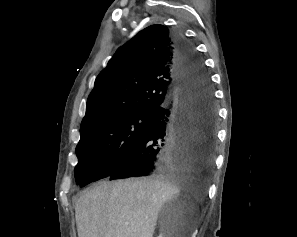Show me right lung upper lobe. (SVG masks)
Segmentation results:
<instances>
[{
    "label": "right lung upper lobe",
    "instance_id": "cb5924a9",
    "mask_svg": "<svg viewBox=\"0 0 297 237\" xmlns=\"http://www.w3.org/2000/svg\"><path fill=\"white\" fill-rule=\"evenodd\" d=\"M175 55L173 34L163 25L145 28L120 47L96 78L80 132L97 121L155 112L169 103L180 87Z\"/></svg>",
    "mask_w": 297,
    "mask_h": 237
}]
</instances>
